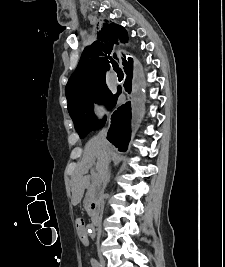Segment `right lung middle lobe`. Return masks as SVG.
<instances>
[{
	"label": "right lung middle lobe",
	"instance_id": "1",
	"mask_svg": "<svg viewBox=\"0 0 225 267\" xmlns=\"http://www.w3.org/2000/svg\"><path fill=\"white\" fill-rule=\"evenodd\" d=\"M116 99L117 95H113L106 84H101L90 88L77 101L68 104L69 114L80 138L101 128L106 120H97L93 111L94 103H101L104 100L108 108L112 109Z\"/></svg>",
	"mask_w": 225,
	"mask_h": 267
}]
</instances>
